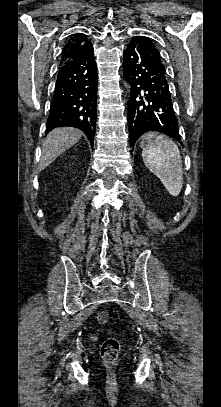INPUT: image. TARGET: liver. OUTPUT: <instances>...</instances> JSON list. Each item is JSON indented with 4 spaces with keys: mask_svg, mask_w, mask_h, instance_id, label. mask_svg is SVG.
I'll return each mask as SVG.
<instances>
[{
    "mask_svg": "<svg viewBox=\"0 0 221 407\" xmlns=\"http://www.w3.org/2000/svg\"><path fill=\"white\" fill-rule=\"evenodd\" d=\"M82 132L72 127H60L48 133L42 144V154L38 170H44L61 154L76 144Z\"/></svg>",
    "mask_w": 221,
    "mask_h": 407,
    "instance_id": "1",
    "label": "liver"
}]
</instances>
